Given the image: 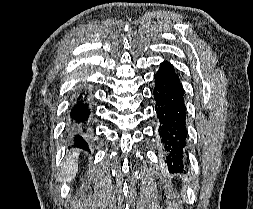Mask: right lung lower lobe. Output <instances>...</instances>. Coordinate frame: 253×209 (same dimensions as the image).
<instances>
[{
  "mask_svg": "<svg viewBox=\"0 0 253 209\" xmlns=\"http://www.w3.org/2000/svg\"><path fill=\"white\" fill-rule=\"evenodd\" d=\"M89 117H90V108L87 102V95L82 91L75 102L73 103L70 110V127L72 129L73 142L78 146L87 148L86 142V132L88 131L89 126Z\"/></svg>",
  "mask_w": 253,
  "mask_h": 209,
  "instance_id": "98d812e1",
  "label": "right lung lower lobe"
}]
</instances>
